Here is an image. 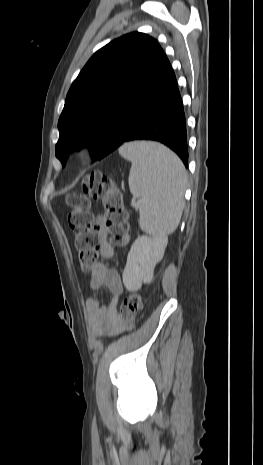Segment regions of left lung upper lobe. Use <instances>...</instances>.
<instances>
[{
	"mask_svg": "<svg viewBox=\"0 0 263 465\" xmlns=\"http://www.w3.org/2000/svg\"><path fill=\"white\" fill-rule=\"evenodd\" d=\"M163 53L152 37L133 32L98 50L70 87L58 121L55 154L63 163L76 147L90 146L94 158L115 129L123 107L131 104L149 68Z\"/></svg>",
	"mask_w": 263,
	"mask_h": 465,
	"instance_id": "left-lung-upper-lobe-1",
	"label": "left lung upper lobe"
}]
</instances>
